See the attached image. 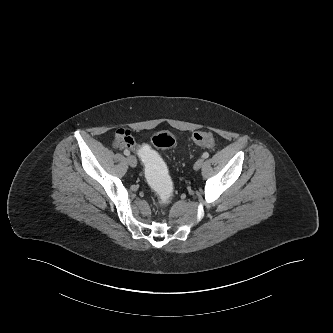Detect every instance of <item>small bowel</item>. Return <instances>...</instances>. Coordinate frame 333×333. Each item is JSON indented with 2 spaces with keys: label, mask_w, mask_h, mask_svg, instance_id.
Masks as SVG:
<instances>
[{
  "label": "small bowel",
  "mask_w": 333,
  "mask_h": 333,
  "mask_svg": "<svg viewBox=\"0 0 333 333\" xmlns=\"http://www.w3.org/2000/svg\"><path fill=\"white\" fill-rule=\"evenodd\" d=\"M114 149L120 153H127L137 149L135 146V138L133 134L127 130L117 131L112 138Z\"/></svg>",
  "instance_id": "c3829d8e"
}]
</instances>
